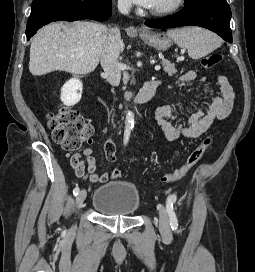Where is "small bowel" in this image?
I'll return each instance as SVG.
<instances>
[{
	"label": "small bowel",
	"instance_id": "c3829d8e",
	"mask_svg": "<svg viewBox=\"0 0 255 272\" xmlns=\"http://www.w3.org/2000/svg\"><path fill=\"white\" fill-rule=\"evenodd\" d=\"M178 80L189 83L198 80L205 82V77L199 76L196 71L188 70L182 73ZM218 94H212L198 107H187L179 104V109L187 114L186 121L176 124V110L170 105H161L155 109L154 120L161 128L167 141H175L179 138L196 139L203 135L214 120L225 119L232 111L235 103V92L228 79L217 76ZM104 151L109 161L115 160L116 144L113 138H108L104 143ZM71 165L79 178H84L86 171L90 173L91 183H105L111 175L98 173V165L93 150L86 147L81 154H73L70 157Z\"/></svg>",
	"mask_w": 255,
	"mask_h": 272
}]
</instances>
